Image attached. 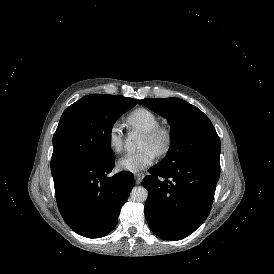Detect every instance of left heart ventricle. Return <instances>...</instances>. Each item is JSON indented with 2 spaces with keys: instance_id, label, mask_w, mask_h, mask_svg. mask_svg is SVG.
Wrapping results in <instances>:
<instances>
[{
  "instance_id": "b2bd125f",
  "label": "left heart ventricle",
  "mask_w": 274,
  "mask_h": 274,
  "mask_svg": "<svg viewBox=\"0 0 274 274\" xmlns=\"http://www.w3.org/2000/svg\"><path fill=\"white\" fill-rule=\"evenodd\" d=\"M139 147L140 148L148 147V148L152 149L154 152H156L157 144L150 141L146 136H143Z\"/></svg>"
}]
</instances>
